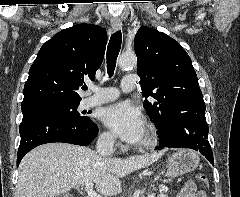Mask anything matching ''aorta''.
Here are the masks:
<instances>
[{
  "label": "aorta",
  "instance_id": "obj_1",
  "mask_svg": "<svg viewBox=\"0 0 240 197\" xmlns=\"http://www.w3.org/2000/svg\"><path fill=\"white\" fill-rule=\"evenodd\" d=\"M137 59L136 56L134 54H122L119 57V67L122 69H126V68H131L134 67L136 65Z\"/></svg>",
  "mask_w": 240,
  "mask_h": 197
}]
</instances>
